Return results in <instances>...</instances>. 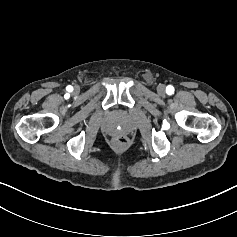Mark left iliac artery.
I'll return each mask as SVG.
<instances>
[{
	"instance_id": "44dca946",
	"label": "left iliac artery",
	"mask_w": 237,
	"mask_h": 237,
	"mask_svg": "<svg viewBox=\"0 0 237 237\" xmlns=\"http://www.w3.org/2000/svg\"><path fill=\"white\" fill-rule=\"evenodd\" d=\"M166 93H167L168 95H172V94L174 93V87L171 86V85H168V86L166 87Z\"/></svg>"
}]
</instances>
